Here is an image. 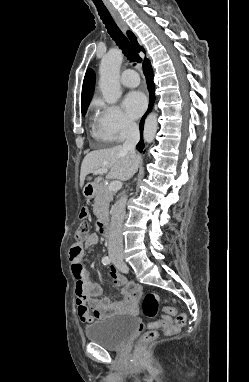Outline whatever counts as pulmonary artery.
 Wrapping results in <instances>:
<instances>
[{
    "instance_id": "pulmonary-artery-1",
    "label": "pulmonary artery",
    "mask_w": 249,
    "mask_h": 382,
    "mask_svg": "<svg viewBox=\"0 0 249 382\" xmlns=\"http://www.w3.org/2000/svg\"><path fill=\"white\" fill-rule=\"evenodd\" d=\"M140 78L132 69H126L121 76V83L129 88H134L139 85Z\"/></svg>"
}]
</instances>
